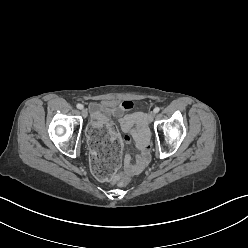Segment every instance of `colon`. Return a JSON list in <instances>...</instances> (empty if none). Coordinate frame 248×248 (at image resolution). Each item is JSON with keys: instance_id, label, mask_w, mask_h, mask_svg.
<instances>
[{"instance_id": "obj_1", "label": "colon", "mask_w": 248, "mask_h": 248, "mask_svg": "<svg viewBox=\"0 0 248 248\" xmlns=\"http://www.w3.org/2000/svg\"><path fill=\"white\" fill-rule=\"evenodd\" d=\"M84 131L92 146L89 153L91 170L95 176L103 180L114 179L120 160V142L112 138V133H117L114 125L97 116L92 122L84 126ZM130 178L119 176L120 187H127Z\"/></svg>"}]
</instances>
